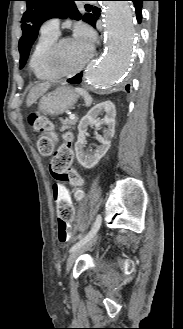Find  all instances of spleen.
Segmentation results:
<instances>
[{
	"label": "spleen",
	"instance_id": "spleen-1",
	"mask_svg": "<svg viewBox=\"0 0 183 329\" xmlns=\"http://www.w3.org/2000/svg\"><path fill=\"white\" fill-rule=\"evenodd\" d=\"M75 91L84 98V101L87 106H90L92 104L93 99L87 90L82 88H75Z\"/></svg>",
	"mask_w": 183,
	"mask_h": 329
}]
</instances>
